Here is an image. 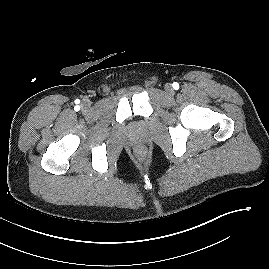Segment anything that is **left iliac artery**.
<instances>
[{"label":"left iliac artery","mask_w":269,"mask_h":269,"mask_svg":"<svg viewBox=\"0 0 269 269\" xmlns=\"http://www.w3.org/2000/svg\"><path fill=\"white\" fill-rule=\"evenodd\" d=\"M172 86H173L174 89H178L179 88V84L177 82H174L172 84Z\"/></svg>","instance_id":"left-iliac-artery-1"}]
</instances>
